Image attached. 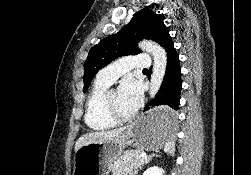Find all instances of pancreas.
Here are the masks:
<instances>
[{
  "label": "pancreas",
  "instance_id": "pancreas-1",
  "mask_svg": "<svg viewBox=\"0 0 251 175\" xmlns=\"http://www.w3.org/2000/svg\"><path fill=\"white\" fill-rule=\"evenodd\" d=\"M141 151L138 149H129L124 151V155L115 159L114 165L110 169L113 175H136L138 169H141L143 163H146V157H140Z\"/></svg>",
  "mask_w": 251,
  "mask_h": 175
}]
</instances>
